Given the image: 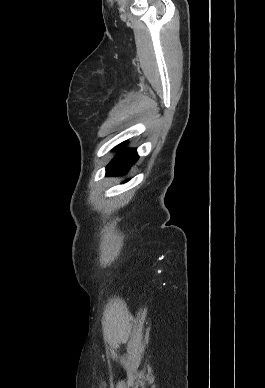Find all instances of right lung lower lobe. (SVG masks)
I'll use <instances>...</instances> for the list:
<instances>
[{
	"label": "right lung lower lobe",
	"instance_id": "right-lung-lower-lobe-1",
	"mask_svg": "<svg viewBox=\"0 0 265 388\" xmlns=\"http://www.w3.org/2000/svg\"><path fill=\"white\" fill-rule=\"evenodd\" d=\"M137 159L138 155L135 149L122 151L107 166L106 176H117L124 174Z\"/></svg>",
	"mask_w": 265,
	"mask_h": 388
}]
</instances>
